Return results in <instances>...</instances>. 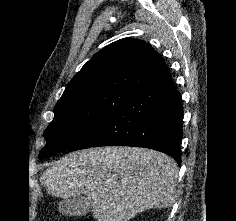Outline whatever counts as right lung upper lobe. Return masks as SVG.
Listing matches in <instances>:
<instances>
[{
    "mask_svg": "<svg viewBox=\"0 0 236 221\" xmlns=\"http://www.w3.org/2000/svg\"><path fill=\"white\" fill-rule=\"evenodd\" d=\"M168 72L161 55L149 44L123 38L97 52L69 82L56 105L103 90L137 92Z\"/></svg>",
    "mask_w": 236,
    "mask_h": 221,
    "instance_id": "cb5924a9",
    "label": "right lung upper lobe"
}]
</instances>
